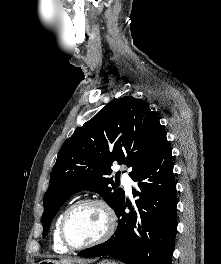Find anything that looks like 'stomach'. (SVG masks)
<instances>
[{"label":"stomach","mask_w":221,"mask_h":264,"mask_svg":"<svg viewBox=\"0 0 221 264\" xmlns=\"http://www.w3.org/2000/svg\"><path fill=\"white\" fill-rule=\"evenodd\" d=\"M38 264H88L86 261L84 262H69V263H64L58 260H52V259H45L40 261ZM97 264H117L115 261L111 260H103Z\"/></svg>","instance_id":"stomach-1"}]
</instances>
